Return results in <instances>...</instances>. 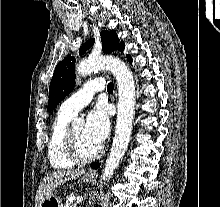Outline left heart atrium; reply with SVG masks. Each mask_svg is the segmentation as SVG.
<instances>
[{
  "mask_svg": "<svg viewBox=\"0 0 220 207\" xmlns=\"http://www.w3.org/2000/svg\"><path fill=\"white\" fill-rule=\"evenodd\" d=\"M84 130L86 136L98 147H101L110 130L108 112L105 106L97 105L88 113Z\"/></svg>",
  "mask_w": 220,
  "mask_h": 207,
  "instance_id": "1",
  "label": "left heart atrium"
}]
</instances>
